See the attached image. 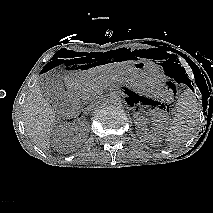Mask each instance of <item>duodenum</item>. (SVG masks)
I'll use <instances>...</instances> for the list:
<instances>
[{"mask_svg":"<svg viewBox=\"0 0 213 213\" xmlns=\"http://www.w3.org/2000/svg\"><path fill=\"white\" fill-rule=\"evenodd\" d=\"M73 90H76V88H74ZM88 108H90L89 105L85 106L83 109L86 110V109H88ZM77 116H80V113H78Z\"/></svg>","mask_w":213,"mask_h":213,"instance_id":"obj_1","label":"duodenum"}]
</instances>
